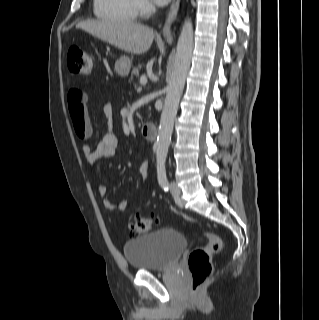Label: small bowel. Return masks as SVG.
I'll return each mask as SVG.
<instances>
[{"mask_svg": "<svg viewBox=\"0 0 319 320\" xmlns=\"http://www.w3.org/2000/svg\"><path fill=\"white\" fill-rule=\"evenodd\" d=\"M87 95L84 91L78 88L71 89L68 94V106L69 113L74 125H83L90 130L92 133V126L90 123V118L87 111ZM103 113L106 118L110 119L113 116V106L111 103H105L103 105ZM119 139L114 132H108L103 135L101 140L96 146H91L89 143H84L82 145V152L85 159L89 163H96L97 161L105 158L115 157L118 153ZM149 170V163L143 162L139 171L143 177H147ZM98 195L103 198V205L105 209L109 211H124L128 206L126 200L120 202H114L107 196V188L105 185L97 186Z\"/></svg>", "mask_w": 319, "mask_h": 320, "instance_id": "obj_1", "label": "small bowel"}]
</instances>
